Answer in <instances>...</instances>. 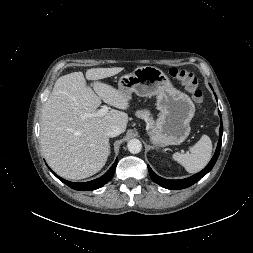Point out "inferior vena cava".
Listing matches in <instances>:
<instances>
[{
    "label": "inferior vena cava",
    "instance_id": "obj_1",
    "mask_svg": "<svg viewBox=\"0 0 253 253\" xmlns=\"http://www.w3.org/2000/svg\"><path fill=\"white\" fill-rule=\"evenodd\" d=\"M108 137H116L121 134V128L117 125H112L106 131Z\"/></svg>",
    "mask_w": 253,
    "mask_h": 253
}]
</instances>
